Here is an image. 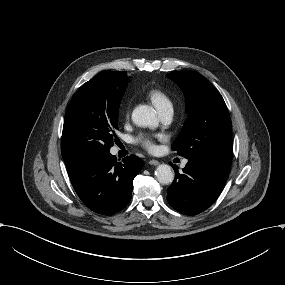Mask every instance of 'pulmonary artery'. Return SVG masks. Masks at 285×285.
<instances>
[{"mask_svg":"<svg viewBox=\"0 0 285 285\" xmlns=\"http://www.w3.org/2000/svg\"><path fill=\"white\" fill-rule=\"evenodd\" d=\"M172 113H173V110H172V107L171 106H168L162 110H160V115H161V118L164 120V121H168L171 119L172 117ZM118 152V149L117 148H113L112 149V154L116 155ZM187 160H183L182 164H181V167H185L186 164H187Z\"/></svg>","mask_w":285,"mask_h":285,"instance_id":"obj_1","label":"pulmonary artery"}]
</instances>
